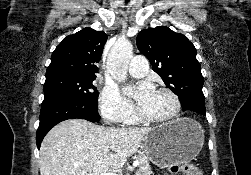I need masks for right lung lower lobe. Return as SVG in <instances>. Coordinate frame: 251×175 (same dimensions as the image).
<instances>
[{"mask_svg":"<svg viewBox=\"0 0 251 175\" xmlns=\"http://www.w3.org/2000/svg\"><path fill=\"white\" fill-rule=\"evenodd\" d=\"M97 109V99L85 101L57 93L45 95L41 104L40 124L36 135L38 149L48 131L61 121L80 118L98 122L100 116Z\"/></svg>","mask_w":251,"mask_h":175,"instance_id":"1","label":"right lung lower lobe"}]
</instances>
